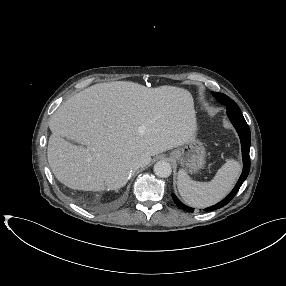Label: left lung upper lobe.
<instances>
[{
    "mask_svg": "<svg viewBox=\"0 0 286 286\" xmlns=\"http://www.w3.org/2000/svg\"><path fill=\"white\" fill-rule=\"evenodd\" d=\"M212 94L219 101L220 104L225 105L227 107V112L231 111L241 113V110L238 105L227 95L217 92H212Z\"/></svg>",
    "mask_w": 286,
    "mask_h": 286,
    "instance_id": "5c2ea615",
    "label": "left lung upper lobe"
}]
</instances>
